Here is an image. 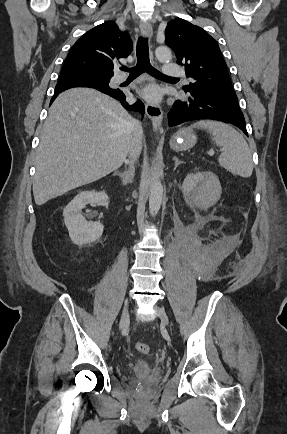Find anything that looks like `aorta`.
I'll return each instance as SVG.
<instances>
[{"mask_svg": "<svg viewBox=\"0 0 287 434\" xmlns=\"http://www.w3.org/2000/svg\"><path fill=\"white\" fill-rule=\"evenodd\" d=\"M156 58L159 62L165 63L172 59L171 51L168 47L160 46L155 50ZM163 199V186L156 169L152 172V181L149 196V212L152 216L160 210Z\"/></svg>", "mask_w": 287, "mask_h": 434, "instance_id": "obj_1", "label": "aorta"}]
</instances>
